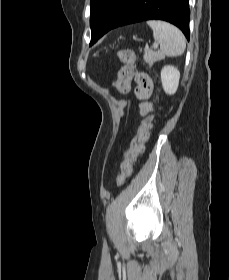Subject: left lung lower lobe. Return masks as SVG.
Returning <instances> with one entry per match:
<instances>
[{
  "label": "left lung lower lobe",
  "instance_id": "1",
  "mask_svg": "<svg viewBox=\"0 0 229 280\" xmlns=\"http://www.w3.org/2000/svg\"><path fill=\"white\" fill-rule=\"evenodd\" d=\"M151 19L164 20L176 25L189 40L188 0H133L113 28ZM93 44L90 42V46Z\"/></svg>",
  "mask_w": 229,
  "mask_h": 280
}]
</instances>
